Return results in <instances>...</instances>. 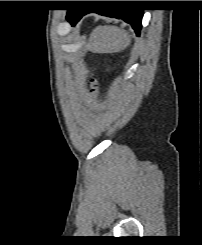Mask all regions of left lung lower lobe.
I'll list each match as a JSON object with an SVG mask.
<instances>
[{"mask_svg":"<svg viewBox=\"0 0 202 245\" xmlns=\"http://www.w3.org/2000/svg\"><path fill=\"white\" fill-rule=\"evenodd\" d=\"M143 10L135 8H114V9H99V10H87V9H70L68 10L67 20L74 26L82 16L90 12H96L100 15L115 17L123 19L125 22L131 24L136 34H140L142 26Z\"/></svg>","mask_w":202,"mask_h":245,"instance_id":"left-lung-lower-lobe-1","label":"left lung lower lobe"}]
</instances>
